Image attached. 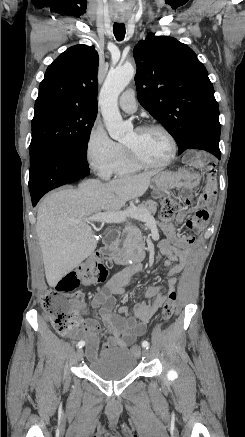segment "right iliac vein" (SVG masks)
Wrapping results in <instances>:
<instances>
[{
	"instance_id": "right-iliac-vein-1",
	"label": "right iliac vein",
	"mask_w": 245,
	"mask_h": 437,
	"mask_svg": "<svg viewBox=\"0 0 245 437\" xmlns=\"http://www.w3.org/2000/svg\"><path fill=\"white\" fill-rule=\"evenodd\" d=\"M82 356H83V349L82 348H78L77 351H76V358L78 360H80L82 358Z\"/></svg>"
}]
</instances>
